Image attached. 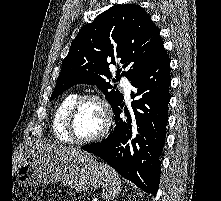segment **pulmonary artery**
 <instances>
[{"mask_svg":"<svg viewBox=\"0 0 221 201\" xmlns=\"http://www.w3.org/2000/svg\"><path fill=\"white\" fill-rule=\"evenodd\" d=\"M121 86L124 88L125 96L129 98L132 87L130 82L125 77L121 79Z\"/></svg>","mask_w":221,"mask_h":201,"instance_id":"obj_1","label":"pulmonary artery"}]
</instances>
